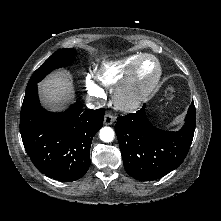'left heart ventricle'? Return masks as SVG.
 I'll list each match as a JSON object with an SVG mask.
<instances>
[{"label": "left heart ventricle", "mask_w": 221, "mask_h": 221, "mask_svg": "<svg viewBox=\"0 0 221 221\" xmlns=\"http://www.w3.org/2000/svg\"><path fill=\"white\" fill-rule=\"evenodd\" d=\"M156 74L155 62L151 59L144 60L139 66L137 79L139 84L143 85L150 82Z\"/></svg>", "instance_id": "1"}]
</instances>
